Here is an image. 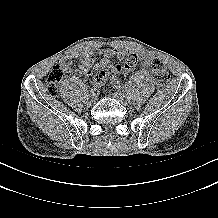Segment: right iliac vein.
I'll return each instance as SVG.
<instances>
[{
  "label": "right iliac vein",
  "mask_w": 218,
  "mask_h": 218,
  "mask_svg": "<svg viewBox=\"0 0 218 218\" xmlns=\"http://www.w3.org/2000/svg\"><path fill=\"white\" fill-rule=\"evenodd\" d=\"M96 101H97V95H96V94H91V95L89 96L88 100H87V104H88L89 106H91V105L95 104Z\"/></svg>",
  "instance_id": "obj_1"
}]
</instances>
